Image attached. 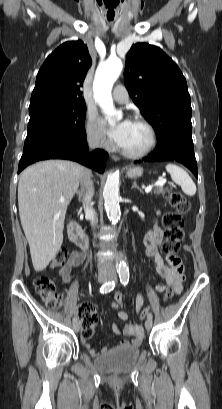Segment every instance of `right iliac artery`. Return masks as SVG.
Returning a JSON list of instances; mask_svg holds the SVG:
<instances>
[{
	"instance_id": "1",
	"label": "right iliac artery",
	"mask_w": 222,
	"mask_h": 409,
	"mask_svg": "<svg viewBox=\"0 0 222 409\" xmlns=\"http://www.w3.org/2000/svg\"><path fill=\"white\" fill-rule=\"evenodd\" d=\"M115 287V282H106L105 284H103L100 288V293L104 294V293H108L110 291H112ZM73 322H77V317L73 318Z\"/></svg>"
}]
</instances>
